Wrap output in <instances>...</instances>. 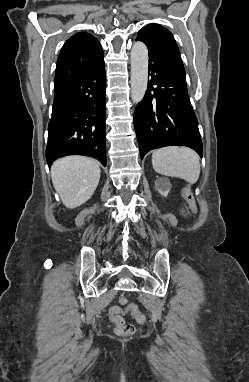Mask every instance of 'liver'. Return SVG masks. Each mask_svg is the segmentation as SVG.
<instances>
[{
	"mask_svg": "<svg viewBox=\"0 0 249 382\" xmlns=\"http://www.w3.org/2000/svg\"><path fill=\"white\" fill-rule=\"evenodd\" d=\"M51 178L63 204L74 209L88 201L98 186L99 163L83 156L64 157L53 163Z\"/></svg>",
	"mask_w": 249,
	"mask_h": 382,
	"instance_id": "liver-1",
	"label": "liver"
}]
</instances>
